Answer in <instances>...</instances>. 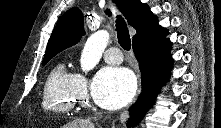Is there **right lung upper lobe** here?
Here are the masks:
<instances>
[{
	"instance_id": "cb5924a9",
	"label": "right lung upper lobe",
	"mask_w": 221,
	"mask_h": 128,
	"mask_svg": "<svg viewBox=\"0 0 221 128\" xmlns=\"http://www.w3.org/2000/svg\"><path fill=\"white\" fill-rule=\"evenodd\" d=\"M129 25L137 34L132 43L151 44L161 41L168 34L165 28L158 24V18L150 11L147 4L140 0H115ZM106 13L110 15V11ZM83 14L78 8H71L58 21L50 37L45 57L55 56L62 50L79 42L85 34Z\"/></svg>"
}]
</instances>
